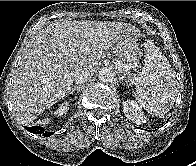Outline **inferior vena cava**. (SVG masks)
I'll return each instance as SVG.
<instances>
[{
	"instance_id": "1",
	"label": "inferior vena cava",
	"mask_w": 196,
	"mask_h": 166,
	"mask_svg": "<svg viewBox=\"0 0 196 166\" xmlns=\"http://www.w3.org/2000/svg\"><path fill=\"white\" fill-rule=\"evenodd\" d=\"M92 76L89 72H76L73 76V81L75 84H83Z\"/></svg>"
}]
</instances>
